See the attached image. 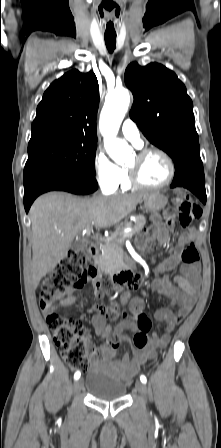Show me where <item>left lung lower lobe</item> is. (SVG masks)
I'll return each instance as SVG.
<instances>
[{
  "label": "left lung lower lobe",
  "instance_id": "0a47b994",
  "mask_svg": "<svg viewBox=\"0 0 221 448\" xmlns=\"http://www.w3.org/2000/svg\"><path fill=\"white\" fill-rule=\"evenodd\" d=\"M175 187L187 188L205 204V176L202 161L190 162L185 166L175 169V175L171 188Z\"/></svg>",
  "mask_w": 221,
  "mask_h": 448
}]
</instances>
